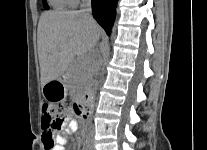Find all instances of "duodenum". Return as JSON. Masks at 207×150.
<instances>
[{
    "label": "duodenum",
    "instance_id": "obj_1",
    "mask_svg": "<svg viewBox=\"0 0 207 150\" xmlns=\"http://www.w3.org/2000/svg\"><path fill=\"white\" fill-rule=\"evenodd\" d=\"M91 90H87L85 91V93L83 94V96L80 99V107L82 108L83 114L86 115L88 114L90 107H91Z\"/></svg>",
    "mask_w": 207,
    "mask_h": 150
}]
</instances>
